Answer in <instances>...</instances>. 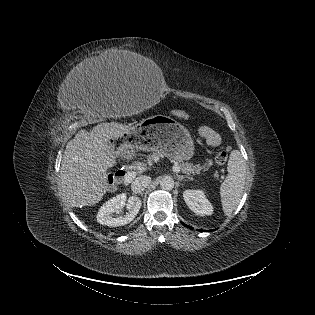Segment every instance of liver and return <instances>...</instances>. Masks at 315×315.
Here are the masks:
<instances>
[{"mask_svg": "<svg viewBox=\"0 0 315 315\" xmlns=\"http://www.w3.org/2000/svg\"><path fill=\"white\" fill-rule=\"evenodd\" d=\"M103 58L99 65L106 64L116 71L118 59L105 63ZM132 127L118 122L100 123L90 132L79 130L70 140L63 154L60 170L62 192L71 207L93 206L100 202L108 191L107 170L116 164V159L136 157L134 146L123 143L115 151L110 140H118Z\"/></svg>", "mask_w": 315, "mask_h": 315, "instance_id": "obj_1", "label": "liver"}]
</instances>
